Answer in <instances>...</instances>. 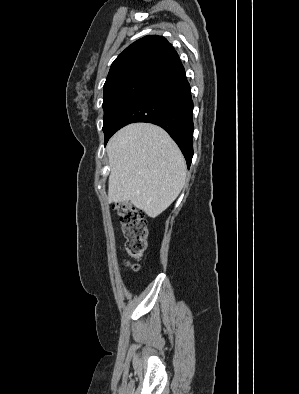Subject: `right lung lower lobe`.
<instances>
[{"instance_id":"1","label":"right lung lower lobe","mask_w":299,"mask_h":394,"mask_svg":"<svg viewBox=\"0 0 299 394\" xmlns=\"http://www.w3.org/2000/svg\"><path fill=\"white\" fill-rule=\"evenodd\" d=\"M192 112L190 85L181 65L138 96L123 113L109 138L130 123L156 124L166 130L177 143L189 168L193 157Z\"/></svg>"}]
</instances>
